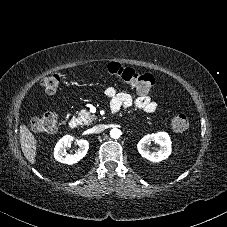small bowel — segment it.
I'll return each instance as SVG.
<instances>
[{
    "label": "small bowel",
    "mask_w": 227,
    "mask_h": 227,
    "mask_svg": "<svg viewBox=\"0 0 227 227\" xmlns=\"http://www.w3.org/2000/svg\"><path fill=\"white\" fill-rule=\"evenodd\" d=\"M105 94L111 99V109L114 111L136 107L146 113H153L158 108L157 102L147 93H140L137 98L133 99L129 94L119 92L114 87H108Z\"/></svg>",
    "instance_id": "c3829d8e"
}]
</instances>
